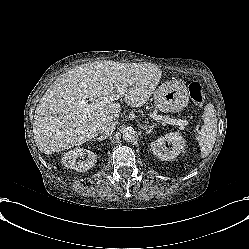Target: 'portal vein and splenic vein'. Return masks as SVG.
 <instances>
[{
  "label": "portal vein and splenic vein",
  "mask_w": 249,
  "mask_h": 249,
  "mask_svg": "<svg viewBox=\"0 0 249 249\" xmlns=\"http://www.w3.org/2000/svg\"><path fill=\"white\" fill-rule=\"evenodd\" d=\"M110 100H114L113 98H110ZM92 107H96V106H92ZM85 110L88 111V108H86ZM156 120H159V117H155ZM169 124H173V125H179V126H184L187 125V121L186 120H181V119H171L169 122Z\"/></svg>",
  "instance_id": "18ae733b"
}]
</instances>
